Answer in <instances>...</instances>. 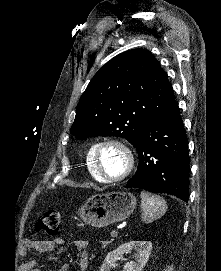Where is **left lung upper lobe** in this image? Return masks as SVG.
Segmentation results:
<instances>
[{
	"label": "left lung upper lobe",
	"instance_id": "left-lung-upper-lobe-1",
	"mask_svg": "<svg viewBox=\"0 0 221 271\" xmlns=\"http://www.w3.org/2000/svg\"><path fill=\"white\" fill-rule=\"evenodd\" d=\"M174 102L167 74L151 52L128 50L91 79L77 105L71 133L77 139L120 136L133 145L142 128Z\"/></svg>",
	"mask_w": 221,
	"mask_h": 271
}]
</instances>
